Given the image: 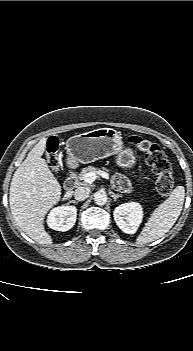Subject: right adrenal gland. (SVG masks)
Here are the masks:
<instances>
[{"instance_id": "obj_1", "label": "right adrenal gland", "mask_w": 193, "mask_h": 351, "mask_svg": "<svg viewBox=\"0 0 193 351\" xmlns=\"http://www.w3.org/2000/svg\"><path fill=\"white\" fill-rule=\"evenodd\" d=\"M69 203L78 204V203H79V201H76V200H71V201H69Z\"/></svg>"}]
</instances>
